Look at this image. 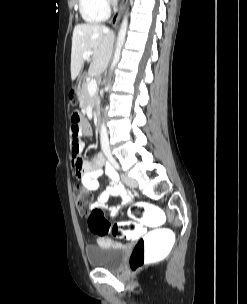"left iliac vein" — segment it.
Instances as JSON below:
<instances>
[{"mask_svg": "<svg viewBox=\"0 0 247 304\" xmlns=\"http://www.w3.org/2000/svg\"><path fill=\"white\" fill-rule=\"evenodd\" d=\"M121 179L130 188H136L138 185L137 181L134 178H132L126 174H122Z\"/></svg>", "mask_w": 247, "mask_h": 304, "instance_id": "obj_1", "label": "left iliac vein"}]
</instances>
